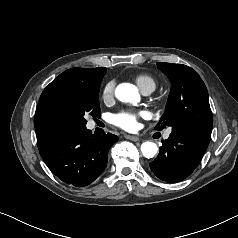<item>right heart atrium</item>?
Masks as SVG:
<instances>
[{
  "label": "right heart atrium",
  "instance_id": "right-heart-atrium-1",
  "mask_svg": "<svg viewBox=\"0 0 238 238\" xmlns=\"http://www.w3.org/2000/svg\"><path fill=\"white\" fill-rule=\"evenodd\" d=\"M114 91H115V81L109 80L107 81L101 90V98L104 102L108 103L111 102L114 98Z\"/></svg>",
  "mask_w": 238,
  "mask_h": 238
}]
</instances>
